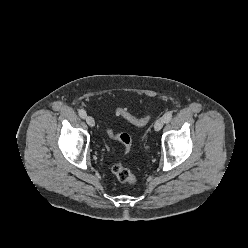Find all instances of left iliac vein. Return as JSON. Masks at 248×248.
I'll use <instances>...</instances> for the list:
<instances>
[{
    "label": "left iliac vein",
    "mask_w": 248,
    "mask_h": 248,
    "mask_svg": "<svg viewBox=\"0 0 248 248\" xmlns=\"http://www.w3.org/2000/svg\"><path fill=\"white\" fill-rule=\"evenodd\" d=\"M165 124V119L163 117L156 120L154 124L155 131H160Z\"/></svg>",
    "instance_id": "4c4485c4"
}]
</instances>
